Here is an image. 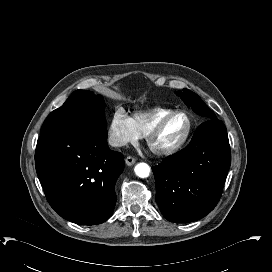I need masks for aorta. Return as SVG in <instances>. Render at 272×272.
<instances>
[{
	"label": "aorta",
	"instance_id": "1",
	"mask_svg": "<svg viewBox=\"0 0 272 272\" xmlns=\"http://www.w3.org/2000/svg\"><path fill=\"white\" fill-rule=\"evenodd\" d=\"M135 174L140 178H146L150 174V167L146 163H139L134 168Z\"/></svg>",
	"mask_w": 272,
	"mask_h": 272
}]
</instances>
